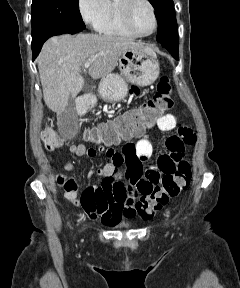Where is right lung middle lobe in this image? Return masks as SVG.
<instances>
[{
    "label": "right lung middle lobe",
    "mask_w": 240,
    "mask_h": 288,
    "mask_svg": "<svg viewBox=\"0 0 240 288\" xmlns=\"http://www.w3.org/2000/svg\"><path fill=\"white\" fill-rule=\"evenodd\" d=\"M79 0H32V45L57 28L85 29Z\"/></svg>",
    "instance_id": "dd1d6c3e"
}]
</instances>
